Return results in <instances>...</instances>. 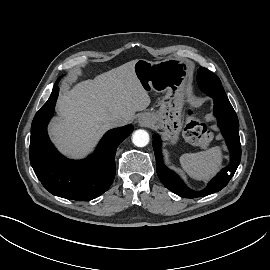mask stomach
I'll return each mask as SVG.
<instances>
[{"instance_id":"1","label":"stomach","mask_w":270,"mask_h":270,"mask_svg":"<svg viewBox=\"0 0 270 270\" xmlns=\"http://www.w3.org/2000/svg\"><path fill=\"white\" fill-rule=\"evenodd\" d=\"M134 72L145 89L162 94L159 109L148 113L151 126L162 130L164 139L175 144L182 129V110L191 73L189 62L177 58L159 62L139 59Z\"/></svg>"}]
</instances>
